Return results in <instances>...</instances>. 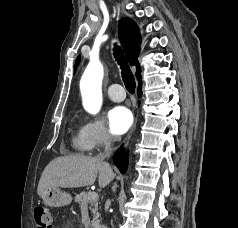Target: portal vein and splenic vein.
<instances>
[{
	"label": "portal vein and splenic vein",
	"mask_w": 238,
	"mask_h": 228,
	"mask_svg": "<svg viewBox=\"0 0 238 228\" xmlns=\"http://www.w3.org/2000/svg\"><path fill=\"white\" fill-rule=\"evenodd\" d=\"M89 199L97 200L98 199V193L91 192L90 195H89Z\"/></svg>",
	"instance_id": "1"
}]
</instances>
